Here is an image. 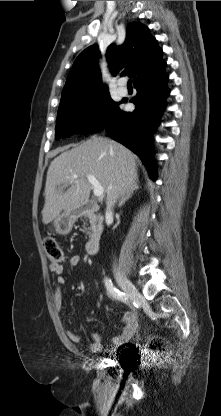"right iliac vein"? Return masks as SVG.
<instances>
[{
	"mask_svg": "<svg viewBox=\"0 0 221 416\" xmlns=\"http://www.w3.org/2000/svg\"><path fill=\"white\" fill-rule=\"evenodd\" d=\"M116 280L122 290L130 297H136L139 295L138 290L134 286V284L124 275L122 272L117 271L115 273Z\"/></svg>",
	"mask_w": 221,
	"mask_h": 416,
	"instance_id": "63e3f726",
	"label": "right iliac vein"
}]
</instances>
